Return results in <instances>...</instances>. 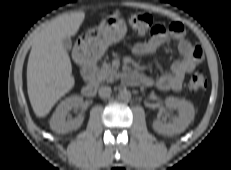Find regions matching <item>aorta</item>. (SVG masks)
Returning <instances> with one entry per match:
<instances>
[{
  "mask_svg": "<svg viewBox=\"0 0 231 170\" xmlns=\"http://www.w3.org/2000/svg\"><path fill=\"white\" fill-rule=\"evenodd\" d=\"M118 99L124 102L130 101L131 92L127 89H121L118 93Z\"/></svg>",
  "mask_w": 231,
  "mask_h": 170,
  "instance_id": "762f6f07",
  "label": "aorta"
}]
</instances>
